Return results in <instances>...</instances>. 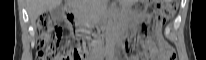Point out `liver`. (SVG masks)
<instances>
[{"label": "liver", "instance_id": "obj_1", "mask_svg": "<svg viewBox=\"0 0 206 60\" xmlns=\"http://www.w3.org/2000/svg\"><path fill=\"white\" fill-rule=\"evenodd\" d=\"M63 0H28V12L31 23L34 25L36 19L44 12L50 11L62 4Z\"/></svg>", "mask_w": 206, "mask_h": 60}]
</instances>
